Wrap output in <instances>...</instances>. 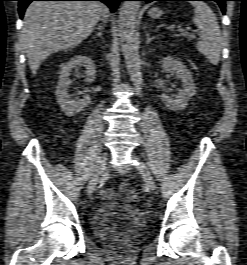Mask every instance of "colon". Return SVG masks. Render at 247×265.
Instances as JSON below:
<instances>
[{
    "label": "colon",
    "mask_w": 247,
    "mask_h": 265,
    "mask_svg": "<svg viewBox=\"0 0 247 265\" xmlns=\"http://www.w3.org/2000/svg\"><path fill=\"white\" fill-rule=\"evenodd\" d=\"M128 190V186L125 182H121L119 184V191L120 192H126Z\"/></svg>",
    "instance_id": "obj_1"
}]
</instances>
